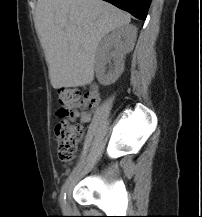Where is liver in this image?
Masks as SVG:
<instances>
[{"label":"liver","mask_w":202,"mask_h":217,"mask_svg":"<svg viewBox=\"0 0 202 217\" xmlns=\"http://www.w3.org/2000/svg\"><path fill=\"white\" fill-rule=\"evenodd\" d=\"M35 28L53 88L78 87L94 79L101 39L130 23V16L103 0H38Z\"/></svg>","instance_id":"6515ba94"}]
</instances>
